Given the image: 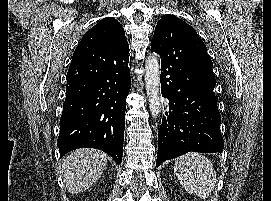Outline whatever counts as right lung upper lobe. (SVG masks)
Returning a JSON list of instances; mask_svg holds the SVG:
<instances>
[{"mask_svg": "<svg viewBox=\"0 0 271 201\" xmlns=\"http://www.w3.org/2000/svg\"><path fill=\"white\" fill-rule=\"evenodd\" d=\"M101 43L119 48L125 57L129 56V46L124 29L114 17H106L88 30L80 43Z\"/></svg>", "mask_w": 271, "mask_h": 201, "instance_id": "right-lung-upper-lobe-1", "label": "right lung upper lobe"}]
</instances>
